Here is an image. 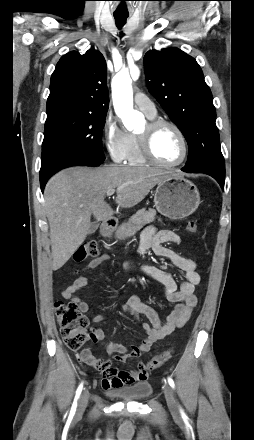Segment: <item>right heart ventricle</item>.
Returning <instances> with one entry per match:
<instances>
[{
	"label": "right heart ventricle",
	"instance_id": "right-heart-ventricle-1",
	"mask_svg": "<svg viewBox=\"0 0 254 440\" xmlns=\"http://www.w3.org/2000/svg\"><path fill=\"white\" fill-rule=\"evenodd\" d=\"M148 117L150 119H154L155 116H152V117L148 116ZM132 137H133L132 146H131V149H130V152L127 156L126 161L128 162V164L134 165V166L146 165L148 161L142 155L138 136L132 135Z\"/></svg>",
	"mask_w": 254,
	"mask_h": 440
}]
</instances>
